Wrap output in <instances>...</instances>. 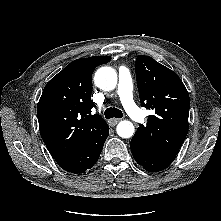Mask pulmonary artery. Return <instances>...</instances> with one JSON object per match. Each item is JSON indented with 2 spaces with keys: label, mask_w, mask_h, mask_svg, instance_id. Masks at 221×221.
<instances>
[{
  "label": "pulmonary artery",
  "mask_w": 221,
  "mask_h": 221,
  "mask_svg": "<svg viewBox=\"0 0 221 221\" xmlns=\"http://www.w3.org/2000/svg\"><path fill=\"white\" fill-rule=\"evenodd\" d=\"M117 91L126 113L134 121L143 122L145 120V114L134 101L132 78L126 67H120L119 69V83Z\"/></svg>",
  "instance_id": "1"
}]
</instances>
